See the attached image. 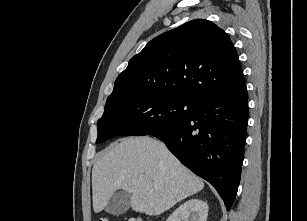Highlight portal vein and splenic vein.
I'll return each mask as SVG.
<instances>
[{"instance_id":"1","label":"portal vein and splenic vein","mask_w":307,"mask_h":221,"mask_svg":"<svg viewBox=\"0 0 307 221\" xmlns=\"http://www.w3.org/2000/svg\"><path fill=\"white\" fill-rule=\"evenodd\" d=\"M143 178H144V175H140V176H139V179H143Z\"/></svg>"}]
</instances>
